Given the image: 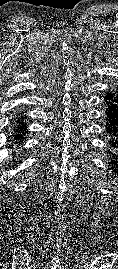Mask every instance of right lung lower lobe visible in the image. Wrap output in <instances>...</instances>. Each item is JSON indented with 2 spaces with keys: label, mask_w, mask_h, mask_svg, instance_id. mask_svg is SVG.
Returning a JSON list of instances; mask_svg holds the SVG:
<instances>
[{
  "label": "right lung lower lobe",
  "mask_w": 118,
  "mask_h": 269,
  "mask_svg": "<svg viewBox=\"0 0 118 269\" xmlns=\"http://www.w3.org/2000/svg\"><path fill=\"white\" fill-rule=\"evenodd\" d=\"M25 119H26V116L24 117L23 115H20V114L15 119V123H16V125L14 126L15 134L12 136L14 137L15 140H18L19 143L22 141L23 134H25L26 132L27 127L24 123Z\"/></svg>",
  "instance_id": "obj_1"
}]
</instances>
